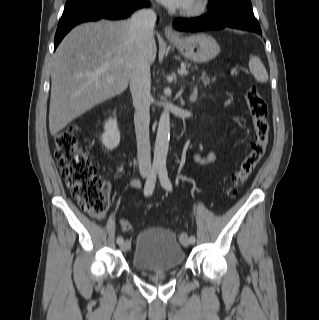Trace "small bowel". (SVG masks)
Here are the masks:
<instances>
[{"instance_id":"1","label":"small bowel","mask_w":319,"mask_h":320,"mask_svg":"<svg viewBox=\"0 0 319 320\" xmlns=\"http://www.w3.org/2000/svg\"><path fill=\"white\" fill-rule=\"evenodd\" d=\"M198 160H199L200 162H202V163H208V162H210V161L213 160V155H207V156H205V157H203V158H198ZM130 185H131L132 187H140V186H141V182H140V180H138V179H133V180L130 182Z\"/></svg>"}]
</instances>
